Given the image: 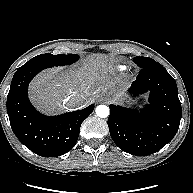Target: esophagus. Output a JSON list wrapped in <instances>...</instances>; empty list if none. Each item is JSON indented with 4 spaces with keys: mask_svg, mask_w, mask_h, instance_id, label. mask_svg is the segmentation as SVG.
Returning a JSON list of instances; mask_svg holds the SVG:
<instances>
[{
    "mask_svg": "<svg viewBox=\"0 0 193 193\" xmlns=\"http://www.w3.org/2000/svg\"><path fill=\"white\" fill-rule=\"evenodd\" d=\"M103 100H104L103 97H99V96H98V97L96 98V102H102Z\"/></svg>",
    "mask_w": 193,
    "mask_h": 193,
    "instance_id": "obj_1",
    "label": "esophagus"
}]
</instances>
